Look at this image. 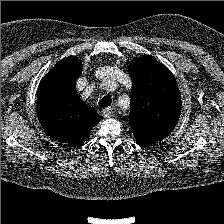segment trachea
<instances>
[{
  "label": "trachea",
  "mask_w": 224,
  "mask_h": 224,
  "mask_svg": "<svg viewBox=\"0 0 224 224\" xmlns=\"http://www.w3.org/2000/svg\"><path fill=\"white\" fill-rule=\"evenodd\" d=\"M110 104H111V98L109 96H104L99 102V106L101 108L108 107L110 106Z\"/></svg>",
  "instance_id": "obj_1"
}]
</instances>
